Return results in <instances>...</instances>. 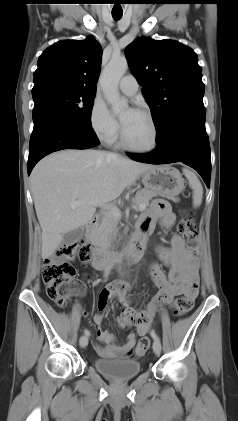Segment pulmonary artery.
<instances>
[{
  "label": "pulmonary artery",
  "mask_w": 238,
  "mask_h": 421,
  "mask_svg": "<svg viewBox=\"0 0 238 421\" xmlns=\"http://www.w3.org/2000/svg\"><path fill=\"white\" fill-rule=\"evenodd\" d=\"M138 82L133 75L124 76L119 83L120 90L129 96L134 95L138 91Z\"/></svg>",
  "instance_id": "pulmonary-artery-1"
}]
</instances>
